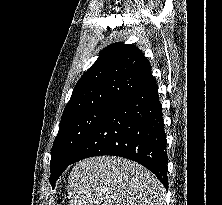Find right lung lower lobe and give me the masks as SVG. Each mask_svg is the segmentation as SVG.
I'll list each match as a JSON object with an SVG mask.
<instances>
[{
  "mask_svg": "<svg viewBox=\"0 0 222 205\" xmlns=\"http://www.w3.org/2000/svg\"><path fill=\"white\" fill-rule=\"evenodd\" d=\"M99 155L138 162L168 186L166 139L155 80L132 91L111 108L76 152L71 164Z\"/></svg>",
  "mask_w": 222,
  "mask_h": 205,
  "instance_id": "right-lung-lower-lobe-1",
  "label": "right lung lower lobe"
}]
</instances>
